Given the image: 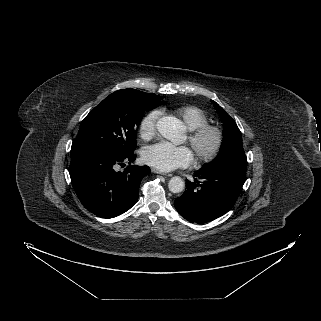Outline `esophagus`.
I'll return each instance as SVG.
<instances>
[{"instance_id":"esophagus-1","label":"esophagus","mask_w":321,"mask_h":321,"mask_svg":"<svg viewBox=\"0 0 321 321\" xmlns=\"http://www.w3.org/2000/svg\"><path fill=\"white\" fill-rule=\"evenodd\" d=\"M151 171H152L153 173L160 174V175H163V176H170V175H168L167 173L162 172V171H160V170H158V169H155V168H152Z\"/></svg>"}]
</instances>
